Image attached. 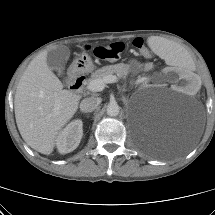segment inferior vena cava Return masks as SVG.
<instances>
[{"mask_svg":"<svg viewBox=\"0 0 215 215\" xmlns=\"http://www.w3.org/2000/svg\"><path fill=\"white\" fill-rule=\"evenodd\" d=\"M100 103L101 99L98 97L85 98L80 103V110L85 113L92 112L99 106Z\"/></svg>","mask_w":215,"mask_h":215,"instance_id":"1","label":"inferior vena cava"}]
</instances>
